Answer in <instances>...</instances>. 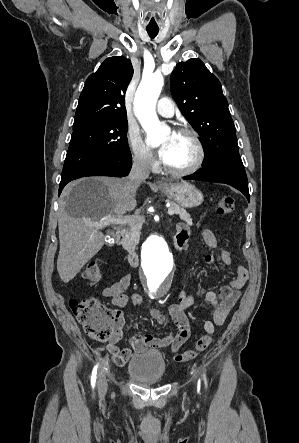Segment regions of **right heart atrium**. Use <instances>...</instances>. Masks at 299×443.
<instances>
[{
  "instance_id": "1",
  "label": "right heart atrium",
  "mask_w": 299,
  "mask_h": 443,
  "mask_svg": "<svg viewBox=\"0 0 299 443\" xmlns=\"http://www.w3.org/2000/svg\"><path fill=\"white\" fill-rule=\"evenodd\" d=\"M127 141L134 164L145 170L152 169L155 166V159L152 152L142 141L137 129H128Z\"/></svg>"
}]
</instances>
